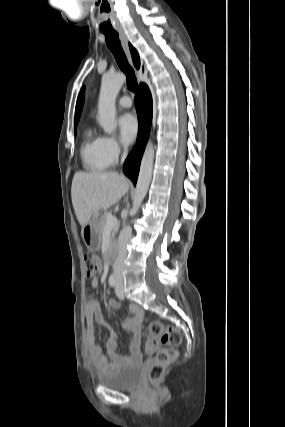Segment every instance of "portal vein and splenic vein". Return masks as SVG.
Here are the masks:
<instances>
[{"mask_svg": "<svg viewBox=\"0 0 285 427\" xmlns=\"http://www.w3.org/2000/svg\"><path fill=\"white\" fill-rule=\"evenodd\" d=\"M118 225V220L111 213L107 216L106 225L104 227V231H109Z\"/></svg>", "mask_w": 285, "mask_h": 427, "instance_id": "18ae733b", "label": "portal vein and splenic vein"}]
</instances>
